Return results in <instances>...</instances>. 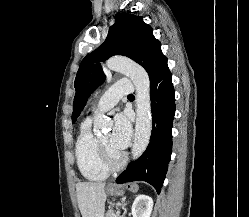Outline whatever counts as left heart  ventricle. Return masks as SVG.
<instances>
[{
	"instance_id": "left-heart-ventricle-1",
	"label": "left heart ventricle",
	"mask_w": 249,
	"mask_h": 217,
	"mask_svg": "<svg viewBox=\"0 0 249 217\" xmlns=\"http://www.w3.org/2000/svg\"><path fill=\"white\" fill-rule=\"evenodd\" d=\"M109 139H110L109 134H106V135L100 137V140H101L104 144H106V145L108 146V148H109L113 153L116 154V153L120 152V151H118V150H116V149H114V148H112V147L110 146Z\"/></svg>"
}]
</instances>
